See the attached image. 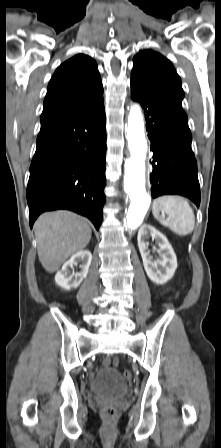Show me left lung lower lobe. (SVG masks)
<instances>
[{"label":"left lung lower lobe","mask_w":221,"mask_h":448,"mask_svg":"<svg viewBox=\"0 0 221 448\" xmlns=\"http://www.w3.org/2000/svg\"><path fill=\"white\" fill-rule=\"evenodd\" d=\"M131 96L146 112V130L153 151L152 197L183 195L199 207L197 162L191 149L192 135L188 124L138 94L131 92Z\"/></svg>","instance_id":"left-lung-lower-lobe-1"}]
</instances>
